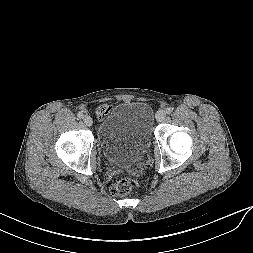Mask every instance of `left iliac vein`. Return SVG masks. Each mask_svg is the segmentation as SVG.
<instances>
[{"instance_id": "obj_1", "label": "left iliac vein", "mask_w": 253, "mask_h": 253, "mask_svg": "<svg viewBox=\"0 0 253 253\" xmlns=\"http://www.w3.org/2000/svg\"><path fill=\"white\" fill-rule=\"evenodd\" d=\"M166 118V111L165 110H160L156 114V120L158 122H162Z\"/></svg>"}]
</instances>
